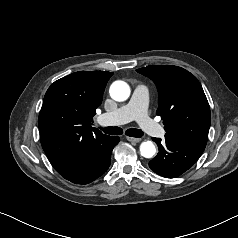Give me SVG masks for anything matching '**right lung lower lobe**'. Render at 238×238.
Here are the masks:
<instances>
[{
	"label": "right lung lower lobe",
	"mask_w": 238,
	"mask_h": 238,
	"mask_svg": "<svg viewBox=\"0 0 238 238\" xmlns=\"http://www.w3.org/2000/svg\"><path fill=\"white\" fill-rule=\"evenodd\" d=\"M119 141L120 138L116 136L99 137L74 161L55 169L72 183L88 184L109 168L112 150Z\"/></svg>",
	"instance_id": "right-lung-lower-lobe-1"
}]
</instances>
